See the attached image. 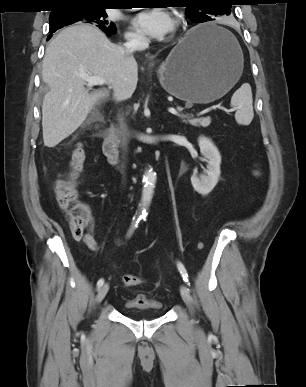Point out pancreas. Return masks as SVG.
Instances as JSON below:
<instances>
[{"label":"pancreas","mask_w":306,"mask_h":387,"mask_svg":"<svg viewBox=\"0 0 306 387\" xmlns=\"http://www.w3.org/2000/svg\"><path fill=\"white\" fill-rule=\"evenodd\" d=\"M182 109L183 108L178 107L179 111H181ZM203 119L204 118H193V119H189V120H183V122L189 123L190 125L195 126V127H207V126H209L211 123L210 118H208L209 120L206 123L203 122Z\"/></svg>","instance_id":"cf45deb5"}]
</instances>
